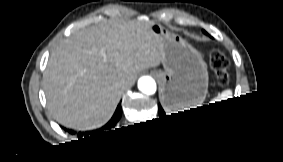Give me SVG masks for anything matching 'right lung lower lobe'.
<instances>
[{"label":"right lung lower lobe","instance_id":"obj_1","mask_svg":"<svg viewBox=\"0 0 283 162\" xmlns=\"http://www.w3.org/2000/svg\"><path fill=\"white\" fill-rule=\"evenodd\" d=\"M122 115V109L121 106L119 105L113 115V117L111 118V120L101 129L93 131V135H90V137L86 136L84 137L85 139H91V138H95V137H99L105 134H108L109 132H112V127H114V125L118 122V120L120 119ZM80 134V133H79ZM88 134V133H86ZM83 140V139H82Z\"/></svg>","mask_w":283,"mask_h":162}]
</instances>
